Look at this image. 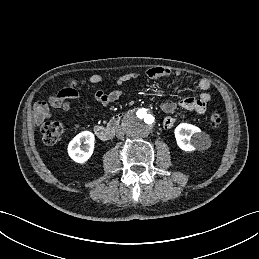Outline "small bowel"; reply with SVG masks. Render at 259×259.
Returning <instances> with one entry per match:
<instances>
[{
    "label": "small bowel",
    "mask_w": 259,
    "mask_h": 259,
    "mask_svg": "<svg viewBox=\"0 0 259 259\" xmlns=\"http://www.w3.org/2000/svg\"><path fill=\"white\" fill-rule=\"evenodd\" d=\"M183 73L181 71H174L172 69L163 67H153L147 70L146 76L150 79H159L165 77L176 76L180 77ZM139 75L137 73H125L122 75L110 76L105 78L100 74H94L90 77L81 80L82 86H95L104 80L115 85H122L129 81L136 79ZM210 81L206 78H200L197 81V87L202 91L198 97H185L182 99H176L175 95H172L171 99L167 100L161 105V109L164 113L168 114L163 120V127L170 129L175 124V118L171 116L180 107L182 109L195 112L197 114H204L207 109V104L211 99L208 90L210 89ZM91 93L95 100L102 105H108L119 99L121 92L119 90H113L111 92H105L99 88H92ZM80 97L78 90L66 94L63 89L53 92L48 101H38L34 105V120L35 123L40 125L46 119L50 118L52 113L51 109H61L65 112L70 111L71 102Z\"/></svg>",
    "instance_id": "obj_1"
}]
</instances>
